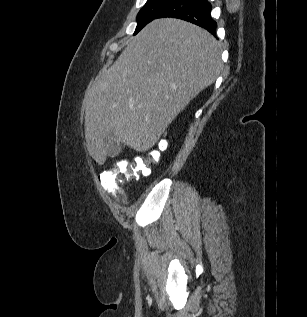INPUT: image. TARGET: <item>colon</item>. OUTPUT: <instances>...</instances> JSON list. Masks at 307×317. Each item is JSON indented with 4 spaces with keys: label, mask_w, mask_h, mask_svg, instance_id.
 <instances>
[{
    "label": "colon",
    "mask_w": 307,
    "mask_h": 317,
    "mask_svg": "<svg viewBox=\"0 0 307 317\" xmlns=\"http://www.w3.org/2000/svg\"><path fill=\"white\" fill-rule=\"evenodd\" d=\"M166 147L167 141L162 135L154 147L144 155L137 156L132 161H116L109 170L99 176L102 188L116 198L124 199L121 182L136 179L140 175H148L151 165L158 162L161 152Z\"/></svg>",
    "instance_id": "5ec220e1"
}]
</instances>
